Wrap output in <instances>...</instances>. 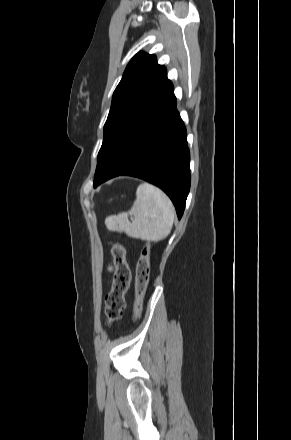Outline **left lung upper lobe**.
<instances>
[{
    "label": "left lung upper lobe",
    "instance_id": "5c2ea615",
    "mask_svg": "<svg viewBox=\"0 0 291 440\" xmlns=\"http://www.w3.org/2000/svg\"><path fill=\"white\" fill-rule=\"evenodd\" d=\"M169 83L166 68L157 64L154 55L140 52L132 58L112 97L111 109L104 125L103 143L97 157L96 173L126 128Z\"/></svg>",
    "mask_w": 291,
    "mask_h": 440
}]
</instances>
